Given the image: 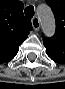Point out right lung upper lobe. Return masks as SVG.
I'll use <instances>...</instances> for the list:
<instances>
[{"label":"right lung upper lobe","mask_w":65,"mask_h":89,"mask_svg":"<svg viewBox=\"0 0 65 89\" xmlns=\"http://www.w3.org/2000/svg\"><path fill=\"white\" fill-rule=\"evenodd\" d=\"M18 0H0V63L15 57L21 43L33 29Z\"/></svg>","instance_id":"cb5924a9"}]
</instances>
